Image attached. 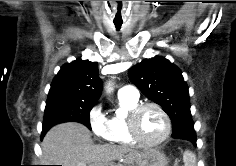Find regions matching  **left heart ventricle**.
I'll list each match as a JSON object with an SVG mask.
<instances>
[{
	"label": "left heart ventricle",
	"instance_id": "left-heart-ventricle-1",
	"mask_svg": "<svg viewBox=\"0 0 236 166\" xmlns=\"http://www.w3.org/2000/svg\"><path fill=\"white\" fill-rule=\"evenodd\" d=\"M138 130L144 141H158L165 132L164 118L156 109L148 108L139 117Z\"/></svg>",
	"mask_w": 236,
	"mask_h": 166
}]
</instances>
